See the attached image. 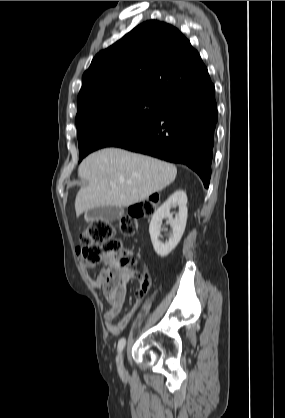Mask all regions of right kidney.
<instances>
[{"mask_svg":"<svg viewBox=\"0 0 285 418\" xmlns=\"http://www.w3.org/2000/svg\"><path fill=\"white\" fill-rule=\"evenodd\" d=\"M178 207V212L173 218V214L170 213L171 208ZM168 218L172 227V235L168 241L162 243L159 240L162 220ZM187 221V196L182 190L174 192L163 205L155 211L152 216L149 233L153 248L160 257L167 256L180 242L185 230Z\"/></svg>","mask_w":285,"mask_h":418,"instance_id":"obj_1","label":"right kidney"}]
</instances>
